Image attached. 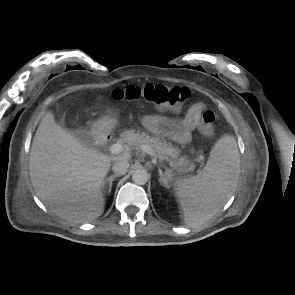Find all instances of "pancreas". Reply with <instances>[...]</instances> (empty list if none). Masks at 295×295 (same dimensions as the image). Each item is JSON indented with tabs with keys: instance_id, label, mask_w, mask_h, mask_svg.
I'll return each mask as SVG.
<instances>
[{
	"instance_id": "cf45deb5",
	"label": "pancreas",
	"mask_w": 295,
	"mask_h": 295,
	"mask_svg": "<svg viewBox=\"0 0 295 295\" xmlns=\"http://www.w3.org/2000/svg\"><path fill=\"white\" fill-rule=\"evenodd\" d=\"M121 141L130 146L139 147L148 145L155 151L157 158L161 161H168L172 168L190 171L195 167L194 163L190 162L185 157L178 158L179 150L173 148L171 144H167L165 140H161L158 137H150L144 132H136L134 129L125 131L121 135Z\"/></svg>"
}]
</instances>
